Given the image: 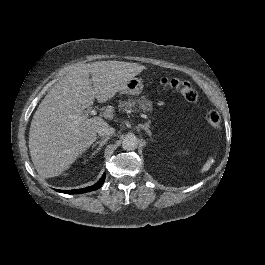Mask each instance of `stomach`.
<instances>
[{
	"label": "stomach",
	"instance_id": "0dacf381",
	"mask_svg": "<svg viewBox=\"0 0 265 265\" xmlns=\"http://www.w3.org/2000/svg\"><path fill=\"white\" fill-rule=\"evenodd\" d=\"M143 90V83L138 78H130L126 80L119 89L121 94L139 95Z\"/></svg>",
	"mask_w": 265,
	"mask_h": 265
}]
</instances>
